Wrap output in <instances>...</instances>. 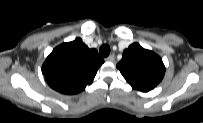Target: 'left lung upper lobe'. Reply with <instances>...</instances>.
Masks as SVG:
<instances>
[{
    "instance_id": "obj_1",
    "label": "left lung upper lobe",
    "mask_w": 203,
    "mask_h": 123,
    "mask_svg": "<svg viewBox=\"0 0 203 123\" xmlns=\"http://www.w3.org/2000/svg\"><path fill=\"white\" fill-rule=\"evenodd\" d=\"M117 68L133 88L144 92L154 89L165 74L162 59L138 43H133L123 52Z\"/></svg>"
}]
</instances>
